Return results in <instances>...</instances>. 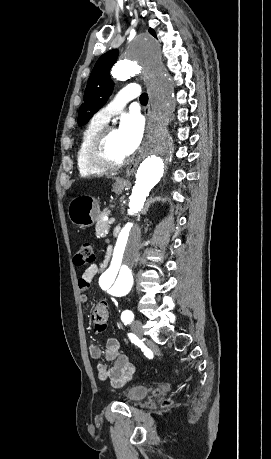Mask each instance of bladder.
<instances>
[{"instance_id": "bladder-1", "label": "bladder", "mask_w": 271, "mask_h": 459, "mask_svg": "<svg viewBox=\"0 0 271 459\" xmlns=\"http://www.w3.org/2000/svg\"><path fill=\"white\" fill-rule=\"evenodd\" d=\"M150 394V387L134 386L126 393L127 402H135Z\"/></svg>"}]
</instances>
